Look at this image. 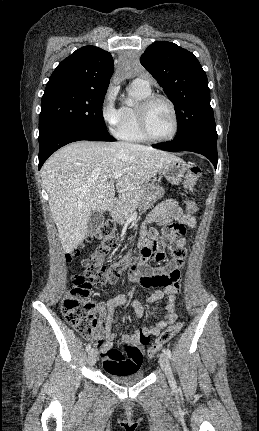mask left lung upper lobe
<instances>
[{"label":"left lung upper lobe","mask_w":259,"mask_h":431,"mask_svg":"<svg viewBox=\"0 0 259 431\" xmlns=\"http://www.w3.org/2000/svg\"><path fill=\"white\" fill-rule=\"evenodd\" d=\"M176 108L175 138L204 132L217 135L205 71L193 53L167 41L151 44L140 59Z\"/></svg>","instance_id":"1"}]
</instances>
